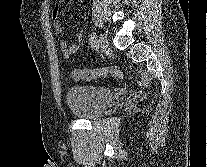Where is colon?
<instances>
[{"label":"colon","mask_w":207,"mask_h":167,"mask_svg":"<svg viewBox=\"0 0 207 167\" xmlns=\"http://www.w3.org/2000/svg\"><path fill=\"white\" fill-rule=\"evenodd\" d=\"M69 76L74 80H96L111 76L115 79H122L123 73L115 67L102 68V69H73L69 72Z\"/></svg>","instance_id":"colon-1"}]
</instances>
